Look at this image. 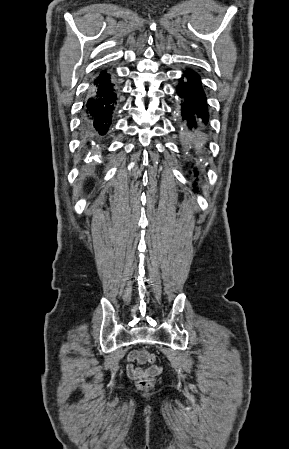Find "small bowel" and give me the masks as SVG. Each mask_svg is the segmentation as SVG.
<instances>
[{
	"instance_id": "obj_1",
	"label": "small bowel",
	"mask_w": 289,
	"mask_h": 449,
	"mask_svg": "<svg viewBox=\"0 0 289 449\" xmlns=\"http://www.w3.org/2000/svg\"><path fill=\"white\" fill-rule=\"evenodd\" d=\"M127 359V374L132 379L138 380L142 377L158 375L161 372L160 366L142 367L147 362L145 351L133 350L128 354Z\"/></svg>"
}]
</instances>
